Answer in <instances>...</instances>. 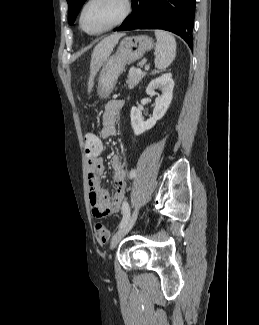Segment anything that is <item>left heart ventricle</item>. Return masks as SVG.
<instances>
[{
	"label": "left heart ventricle",
	"mask_w": 259,
	"mask_h": 325,
	"mask_svg": "<svg viewBox=\"0 0 259 325\" xmlns=\"http://www.w3.org/2000/svg\"><path fill=\"white\" fill-rule=\"evenodd\" d=\"M122 12V0H93L84 11L83 25L95 32L115 22Z\"/></svg>",
	"instance_id": "b2bd125f"
}]
</instances>
